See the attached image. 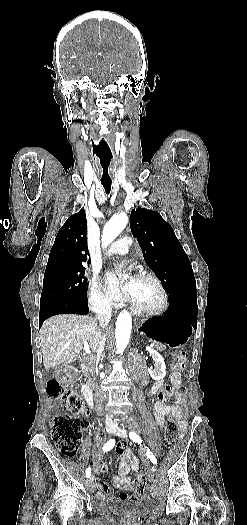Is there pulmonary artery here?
<instances>
[{"label":"pulmonary artery","instance_id":"pulmonary-artery-1","mask_svg":"<svg viewBox=\"0 0 247 525\" xmlns=\"http://www.w3.org/2000/svg\"><path fill=\"white\" fill-rule=\"evenodd\" d=\"M134 242L135 239L133 236L123 235L111 244L109 248L110 251H108V254H111L114 257L119 256V254H125L133 246ZM105 260L107 262H110L112 260V257L110 255H107L105 257Z\"/></svg>","mask_w":247,"mask_h":525}]
</instances>
